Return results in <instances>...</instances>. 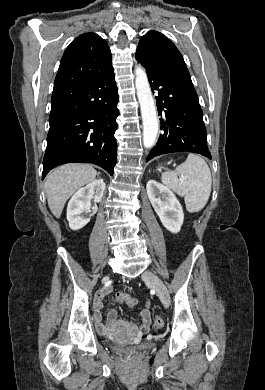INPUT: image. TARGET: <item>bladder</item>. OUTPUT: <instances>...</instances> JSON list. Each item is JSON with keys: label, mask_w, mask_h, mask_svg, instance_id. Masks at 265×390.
I'll return each instance as SVG.
<instances>
[{"label": "bladder", "mask_w": 265, "mask_h": 390, "mask_svg": "<svg viewBox=\"0 0 265 390\" xmlns=\"http://www.w3.org/2000/svg\"><path fill=\"white\" fill-rule=\"evenodd\" d=\"M155 344H156V341H151L150 343H148L146 345L140 346V348H147V347L153 346ZM111 347H112V350L115 351V352H123V351L129 349V346L126 345V344H123V343H113L111 345Z\"/></svg>", "instance_id": "1"}]
</instances>
